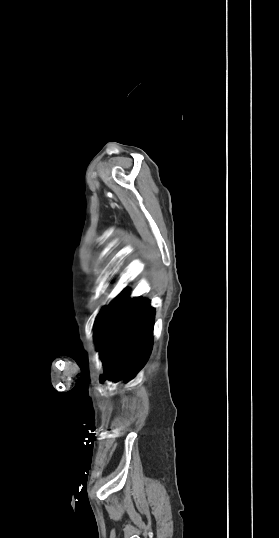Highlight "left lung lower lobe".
Here are the masks:
<instances>
[{
	"label": "left lung lower lobe",
	"mask_w": 279,
	"mask_h": 538,
	"mask_svg": "<svg viewBox=\"0 0 279 538\" xmlns=\"http://www.w3.org/2000/svg\"><path fill=\"white\" fill-rule=\"evenodd\" d=\"M124 290L104 307L95 322V341L104 363L102 379L132 378L152 350L155 310L141 297L129 300Z\"/></svg>",
	"instance_id": "0a47b994"
}]
</instances>
